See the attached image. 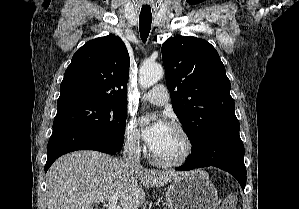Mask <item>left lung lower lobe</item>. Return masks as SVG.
Returning a JSON list of instances; mask_svg holds the SVG:
<instances>
[{
	"mask_svg": "<svg viewBox=\"0 0 299 209\" xmlns=\"http://www.w3.org/2000/svg\"><path fill=\"white\" fill-rule=\"evenodd\" d=\"M239 121L233 120L212 129L206 139L177 170L215 166L229 172L240 183L243 191L246 184L244 145L239 135Z\"/></svg>",
	"mask_w": 299,
	"mask_h": 209,
	"instance_id": "obj_1",
	"label": "left lung lower lobe"
}]
</instances>
